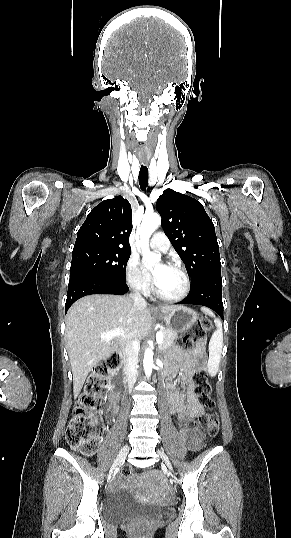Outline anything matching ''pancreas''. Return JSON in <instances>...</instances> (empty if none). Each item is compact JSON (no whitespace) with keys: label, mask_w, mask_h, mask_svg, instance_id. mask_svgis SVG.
<instances>
[{"label":"pancreas","mask_w":291,"mask_h":538,"mask_svg":"<svg viewBox=\"0 0 291 538\" xmlns=\"http://www.w3.org/2000/svg\"><path fill=\"white\" fill-rule=\"evenodd\" d=\"M161 332L163 334V342L159 344V348L160 350H165L173 344L178 335L177 333L166 328H162Z\"/></svg>","instance_id":"cf45deb5"}]
</instances>
